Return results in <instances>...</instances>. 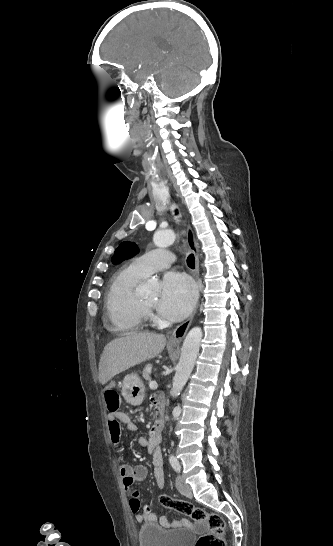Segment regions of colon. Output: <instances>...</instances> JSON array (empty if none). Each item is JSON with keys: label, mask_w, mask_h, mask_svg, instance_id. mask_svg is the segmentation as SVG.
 <instances>
[{"label": "colon", "mask_w": 333, "mask_h": 546, "mask_svg": "<svg viewBox=\"0 0 333 546\" xmlns=\"http://www.w3.org/2000/svg\"><path fill=\"white\" fill-rule=\"evenodd\" d=\"M105 400L109 411H118L120 406V396L117 391L112 390L110 393L106 392ZM117 435H119V431ZM159 500L163 507L189 516L197 522H204L207 524V533L198 538L195 546H226L225 522L219 514L208 513L202 508L196 507L186 500L172 499L167 495H161Z\"/></svg>", "instance_id": "obj_1"}]
</instances>
